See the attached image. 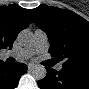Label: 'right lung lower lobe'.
<instances>
[{
    "label": "right lung lower lobe",
    "instance_id": "1",
    "mask_svg": "<svg viewBox=\"0 0 89 89\" xmlns=\"http://www.w3.org/2000/svg\"><path fill=\"white\" fill-rule=\"evenodd\" d=\"M27 71V66L22 63L7 65L0 61V85L4 89H13L17 86L22 74Z\"/></svg>",
    "mask_w": 89,
    "mask_h": 89
}]
</instances>
